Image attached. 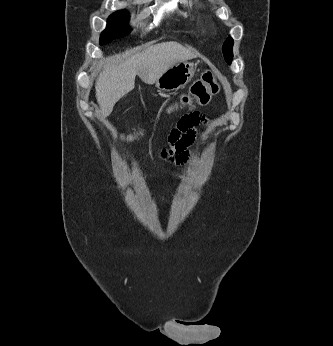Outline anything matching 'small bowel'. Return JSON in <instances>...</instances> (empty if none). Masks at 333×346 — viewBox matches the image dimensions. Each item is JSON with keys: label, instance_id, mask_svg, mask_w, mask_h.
<instances>
[{"label": "small bowel", "instance_id": "small-bowel-1", "mask_svg": "<svg viewBox=\"0 0 333 346\" xmlns=\"http://www.w3.org/2000/svg\"><path fill=\"white\" fill-rule=\"evenodd\" d=\"M205 124L200 116L181 117L177 127L169 135V147L162 150L161 158L179 165L186 163L192 155L188 147L197 136V128Z\"/></svg>", "mask_w": 333, "mask_h": 346}]
</instances>
